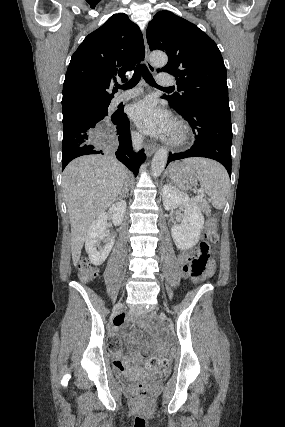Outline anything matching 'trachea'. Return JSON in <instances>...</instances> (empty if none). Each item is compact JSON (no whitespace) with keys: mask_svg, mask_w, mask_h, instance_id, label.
Wrapping results in <instances>:
<instances>
[{"mask_svg":"<svg viewBox=\"0 0 285 427\" xmlns=\"http://www.w3.org/2000/svg\"><path fill=\"white\" fill-rule=\"evenodd\" d=\"M141 76L144 78V80L152 87L162 88L159 85L156 84L153 76L149 72L148 68L144 64H138L135 68L133 77L125 83L123 86H119L120 89H131L137 85V83L140 81ZM170 88V87H168Z\"/></svg>","mask_w":285,"mask_h":427,"instance_id":"trachea-1","label":"trachea"}]
</instances>
